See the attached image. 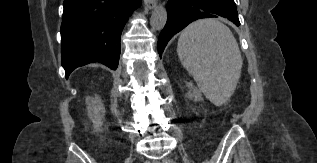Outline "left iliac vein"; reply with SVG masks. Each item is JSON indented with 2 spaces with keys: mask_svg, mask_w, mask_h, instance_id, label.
Returning <instances> with one entry per match:
<instances>
[{
  "mask_svg": "<svg viewBox=\"0 0 317 163\" xmlns=\"http://www.w3.org/2000/svg\"><path fill=\"white\" fill-rule=\"evenodd\" d=\"M155 163H160V162H155ZM162 163H171V161L169 159H165V160H163Z\"/></svg>",
  "mask_w": 317,
  "mask_h": 163,
  "instance_id": "obj_1",
  "label": "left iliac vein"
}]
</instances>
